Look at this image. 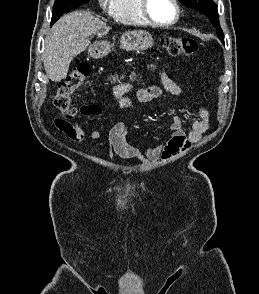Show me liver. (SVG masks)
Wrapping results in <instances>:
<instances>
[{
    "instance_id": "liver-1",
    "label": "liver",
    "mask_w": 259,
    "mask_h": 294,
    "mask_svg": "<svg viewBox=\"0 0 259 294\" xmlns=\"http://www.w3.org/2000/svg\"><path fill=\"white\" fill-rule=\"evenodd\" d=\"M110 27L89 11H75L62 16L45 38L44 68L51 81L67 76L71 61L90 44L95 34L106 35Z\"/></svg>"
}]
</instances>
